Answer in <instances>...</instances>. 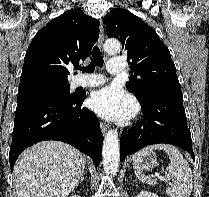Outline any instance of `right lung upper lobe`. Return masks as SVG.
<instances>
[{"mask_svg":"<svg viewBox=\"0 0 209 197\" xmlns=\"http://www.w3.org/2000/svg\"><path fill=\"white\" fill-rule=\"evenodd\" d=\"M99 36V21L81 9L66 11L50 21L29 45L19 87L68 82L67 65L78 64L91 53Z\"/></svg>","mask_w":209,"mask_h":197,"instance_id":"1","label":"right lung upper lobe"}]
</instances>
